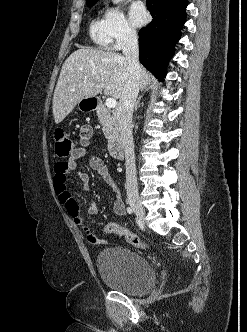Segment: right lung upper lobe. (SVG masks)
I'll return each mask as SVG.
<instances>
[{"label":"right lung upper lobe","instance_id":"right-lung-upper-lobe-1","mask_svg":"<svg viewBox=\"0 0 247 332\" xmlns=\"http://www.w3.org/2000/svg\"><path fill=\"white\" fill-rule=\"evenodd\" d=\"M98 0H87V4H95Z\"/></svg>","mask_w":247,"mask_h":332}]
</instances>
